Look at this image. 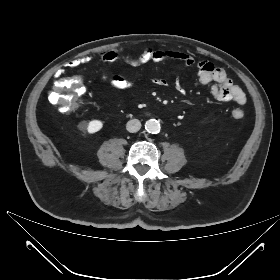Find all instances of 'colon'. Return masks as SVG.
<instances>
[{"mask_svg": "<svg viewBox=\"0 0 280 280\" xmlns=\"http://www.w3.org/2000/svg\"><path fill=\"white\" fill-rule=\"evenodd\" d=\"M82 84V81L79 77L75 76H63L59 75L55 86L52 91L49 93L48 100L52 104H57L58 108L62 111H66L74 115L78 112L81 107V103L78 99L72 97L64 98L62 91L65 89L78 88ZM238 119L243 117L242 113H236Z\"/></svg>", "mask_w": 280, "mask_h": 280, "instance_id": "colon-1", "label": "colon"}]
</instances>
